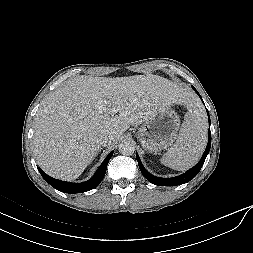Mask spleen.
<instances>
[{"mask_svg":"<svg viewBox=\"0 0 253 253\" xmlns=\"http://www.w3.org/2000/svg\"><path fill=\"white\" fill-rule=\"evenodd\" d=\"M207 141V120L203 111L192 104L185 115L178 138L161 163L176 170H186L200 159Z\"/></svg>","mask_w":253,"mask_h":253,"instance_id":"3e777b00","label":"spleen"}]
</instances>
